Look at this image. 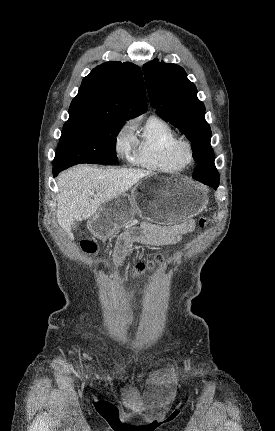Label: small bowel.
<instances>
[{
  "instance_id": "c3829d8e",
  "label": "small bowel",
  "mask_w": 275,
  "mask_h": 431,
  "mask_svg": "<svg viewBox=\"0 0 275 431\" xmlns=\"http://www.w3.org/2000/svg\"><path fill=\"white\" fill-rule=\"evenodd\" d=\"M193 220H185L175 225L164 226L153 223H144L141 229L124 233L117 241L113 258L120 261L130 249L133 242L153 246L171 245L179 242L183 235L193 231Z\"/></svg>"
}]
</instances>
